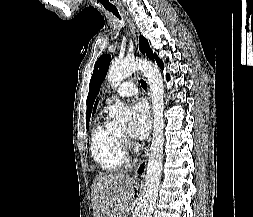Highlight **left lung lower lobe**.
<instances>
[{"label":"left lung lower lobe","instance_id":"obj_1","mask_svg":"<svg viewBox=\"0 0 253 217\" xmlns=\"http://www.w3.org/2000/svg\"><path fill=\"white\" fill-rule=\"evenodd\" d=\"M159 64V66L163 69V63L162 62H160V63H158ZM167 78H169V76L167 75Z\"/></svg>","mask_w":253,"mask_h":217}]
</instances>
